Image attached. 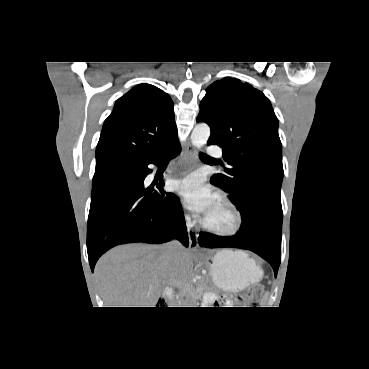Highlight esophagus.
<instances>
[{"label": "esophagus", "instance_id": "1", "mask_svg": "<svg viewBox=\"0 0 369 369\" xmlns=\"http://www.w3.org/2000/svg\"><path fill=\"white\" fill-rule=\"evenodd\" d=\"M196 156H197L196 149L190 143L186 144L183 151L184 160L192 163L196 159ZM187 231L189 237V248L191 250H195L198 247V234L189 225L187 226Z\"/></svg>", "mask_w": 369, "mask_h": 369}]
</instances>
